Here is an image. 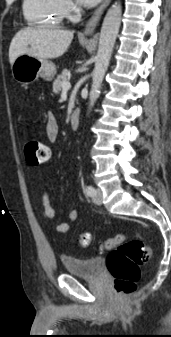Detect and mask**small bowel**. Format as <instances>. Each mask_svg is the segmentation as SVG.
Returning <instances> with one entry per match:
<instances>
[{"label":"small bowel","instance_id":"1","mask_svg":"<svg viewBox=\"0 0 171 337\" xmlns=\"http://www.w3.org/2000/svg\"><path fill=\"white\" fill-rule=\"evenodd\" d=\"M45 134L49 141L54 142L57 140L59 136V126L55 116L52 113H48L46 120H45ZM49 158V157H48ZM42 204L44 208V214L48 219H55L56 211L52 207L49 197V192L44 190L42 192ZM78 217V211L72 210L68 215L67 222H60L56 225V230L60 233H66L70 230L71 225Z\"/></svg>","mask_w":171,"mask_h":337}]
</instances>
